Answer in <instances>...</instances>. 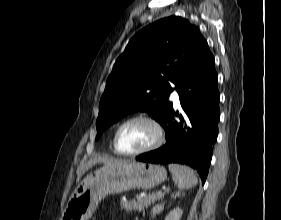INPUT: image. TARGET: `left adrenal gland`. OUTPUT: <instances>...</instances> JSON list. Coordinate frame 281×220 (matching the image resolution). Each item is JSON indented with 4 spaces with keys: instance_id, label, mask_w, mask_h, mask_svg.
<instances>
[{
    "instance_id": "obj_1",
    "label": "left adrenal gland",
    "mask_w": 281,
    "mask_h": 220,
    "mask_svg": "<svg viewBox=\"0 0 281 220\" xmlns=\"http://www.w3.org/2000/svg\"><path fill=\"white\" fill-rule=\"evenodd\" d=\"M161 206H164V203H161L160 204ZM159 205H156L152 210H151V216H155L156 213H158V211H156V208L158 207Z\"/></svg>"
}]
</instances>
